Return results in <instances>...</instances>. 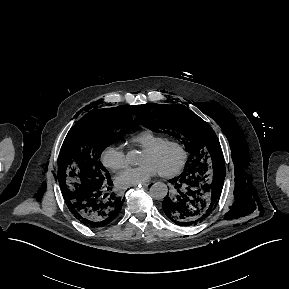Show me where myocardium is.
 <instances>
[{
    "label": "myocardium",
    "mask_w": 289,
    "mask_h": 289,
    "mask_svg": "<svg viewBox=\"0 0 289 289\" xmlns=\"http://www.w3.org/2000/svg\"><path fill=\"white\" fill-rule=\"evenodd\" d=\"M169 146H174V147L178 148V150L181 153V158H180L179 164L174 169H172L170 171H166V172H160V175L163 177H174V176H177L178 174H180L184 170L186 163L188 161V157H189L186 146L178 140L165 139L162 142H160L154 146H151V147L144 149V151H146L148 153L157 154Z\"/></svg>",
    "instance_id": "f54148a6"
}]
</instances>
